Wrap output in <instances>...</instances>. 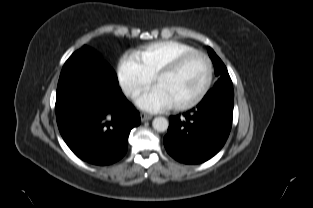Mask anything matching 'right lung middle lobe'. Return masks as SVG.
Here are the masks:
<instances>
[{"label":"right lung middle lobe","instance_id":"obj_1","mask_svg":"<svg viewBox=\"0 0 313 208\" xmlns=\"http://www.w3.org/2000/svg\"><path fill=\"white\" fill-rule=\"evenodd\" d=\"M79 51H89L88 48L86 46L83 47V49L76 51L74 54H72L71 56H75Z\"/></svg>","mask_w":313,"mask_h":208}]
</instances>
